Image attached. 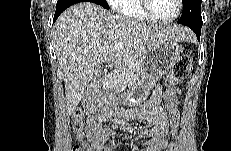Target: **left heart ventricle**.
<instances>
[{"label": "left heart ventricle", "instance_id": "obj_1", "mask_svg": "<svg viewBox=\"0 0 231 151\" xmlns=\"http://www.w3.org/2000/svg\"><path fill=\"white\" fill-rule=\"evenodd\" d=\"M152 14L159 19L172 17L176 10V0H150Z\"/></svg>", "mask_w": 231, "mask_h": 151}]
</instances>
